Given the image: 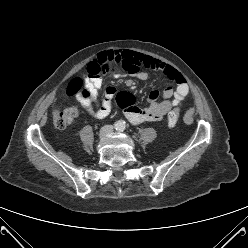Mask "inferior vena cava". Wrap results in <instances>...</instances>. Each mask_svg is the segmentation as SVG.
Returning <instances> with one entry per match:
<instances>
[{
    "mask_svg": "<svg viewBox=\"0 0 248 248\" xmlns=\"http://www.w3.org/2000/svg\"><path fill=\"white\" fill-rule=\"evenodd\" d=\"M113 129V126L112 125H106L102 128V131L104 132H111Z\"/></svg>",
    "mask_w": 248,
    "mask_h": 248,
    "instance_id": "inferior-vena-cava-1",
    "label": "inferior vena cava"
}]
</instances>
